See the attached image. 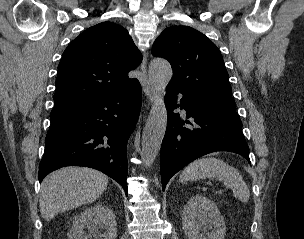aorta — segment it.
I'll use <instances>...</instances> for the list:
<instances>
[{"instance_id":"762f6f07","label":"aorta","mask_w":304,"mask_h":239,"mask_svg":"<svg viewBox=\"0 0 304 239\" xmlns=\"http://www.w3.org/2000/svg\"><path fill=\"white\" fill-rule=\"evenodd\" d=\"M172 78L170 63L155 58L149 66V80L156 95L142 135L141 158L146 167L151 166L161 148L167 127V111L164 103L165 88Z\"/></svg>"}]
</instances>
